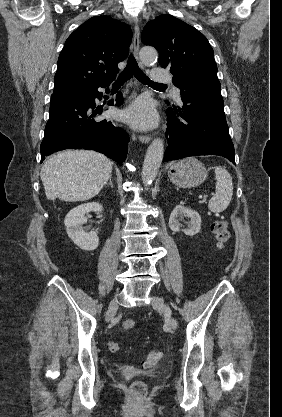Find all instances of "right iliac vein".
I'll return each mask as SVG.
<instances>
[{"label": "right iliac vein", "instance_id": "right-iliac-vein-1", "mask_svg": "<svg viewBox=\"0 0 282 417\" xmlns=\"http://www.w3.org/2000/svg\"><path fill=\"white\" fill-rule=\"evenodd\" d=\"M117 308H118L117 299L111 300V302L109 303L107 314H106V321H109L114 316V314L117 311Z\"/></svg>", "mask_w": 282, "mask_h": 417}]
</instances>
